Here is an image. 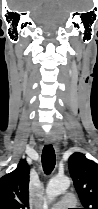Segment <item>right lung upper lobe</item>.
Wrapping results in <instances>:
<instances>
[{"instance_id":"cb5924a9","label":"right lung upper lobe","mask_w":98,"mask_h":209,"mask_svg":"<svg viewBox=\"0 0 98 209\" xmlns=\"http://www.w3.org/2000/svg\"><path fill=\"white\" fill-rule=\"evenodd\" d=\"M29 172L26 160H21L13 172L0 178V209L29 208Z\"/></svg>"}]
</instances>
